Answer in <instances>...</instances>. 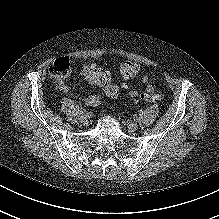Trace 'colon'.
Wrapping results in <instances>:
<instances>
[{
  "instance_id": "obj_1",
  "label": "colon",
  "mask_w": 219,
  "mask_h": 219,
  "mask_svg": "<svg viewBox=\"0 0 219 219\" xmlns=\"http://www.w3.org/2000/svg\"><path fill=\"white\" fill-rule=\"evenodd\" d=\"M139 67L136 63L124 61L120 65V73L123 78H133L137 75ZM92 72L96 74V83L102 88L103 93L109 98H115L119 95V87L111 82L109 73L93 68ZM50 75L58 81H61L71 73V62L67 57L56 59L49 69ZM131 98L138 102H154L162 98V94L152 91H147L143 94L135 92L131 93Z\"/></svg>"
}]
</instances>
